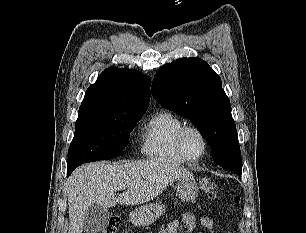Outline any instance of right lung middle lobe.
<instances>
[{
	"label": "right lung middle lobe",
	"instance_id": "right-lung-middle-lobe-1",
	"mask_svg": "<svg viewBox=\"0 0 306 233\" xmlns=\"http://www.w3.org/2000/svg\"><path fill=\"white\" fill-rule=\"evenodd\" d=\"M142 112H120L107 109H79L74 138L68 151L67 169L123 153L132 128Z\"/></svg>",
	"mask_w": 306,
	"mask_h": 233
}]
</instances>
